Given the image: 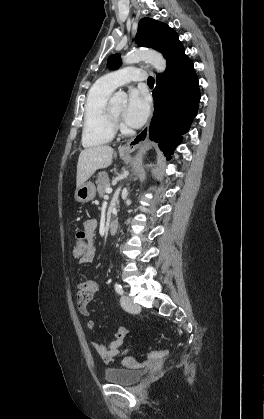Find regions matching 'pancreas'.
I'll list each match as a JSON object with an SVG mask.
<instances>
[{
    "label": "pancreas",
    "instance_id": "cf45deb5",
    "mask_svg": "<svg viewBox=\"0 0 264 419\" xmlns=\"http://www.w3.org/2000/svg\"><path fill=\"white\" fill-rule=\"evenodd\" d=\"M96 184H97V191L99 193V196L102 197L106 189L110 187V179L106 172H99L96 178Z\"/></svg>",
    "mask_w": 264,
    "mask_h": 419
}]
</instances>
